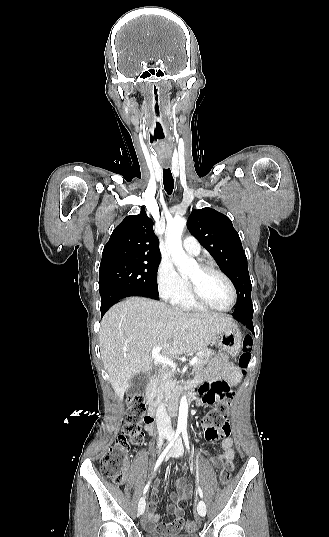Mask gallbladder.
<instances>
[{"mask_svg":"<svg viewBox=\"0 0 329 537\" xmlns=\"http://www.w3.org/2000/svg\"><path fill=\"white\" fill-rule=\"evenodd\" d=\"M148 382L149 379L146 372H139L135 374L130 381V386L127 390V393L129 395L144 393L147 388Z\"/></svg>","mask_w":329,"mask_h":537,"instance_id":"obj_1","label":"gallbladder"}]
</instances>
